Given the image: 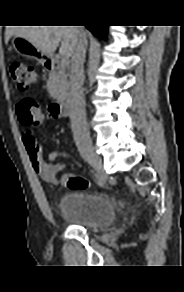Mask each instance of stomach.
<instances>
[{
    "label": "stomach",
    "instance_id": "1",
    "mask_svg": "<svg viewBox=\"0 0 184 292\" xmlns=\"http://www.w3.org/2000/svg\"><path fill=\"white\" fill-rule=\"evenodd\" d=\"M12 47L18 54L35 59L42 65L48 62L49 56L36 48L25 38L14 36L12 39Z\"/></svg>",
    "mask_w": 184,
    "mask_h": 292
}]
</instances>
